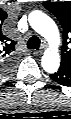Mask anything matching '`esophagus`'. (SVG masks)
Masks as SVG:
<instances>
[{"instance_id":"obj_1","label":"esophagus","mask_w":71,"mask_h":119,"mask_svg":"<svg viewBox=\"0 0 71 119\" xmlns=\"http://www.w3.org/2000/svg\"><path fill=\"white\" fill-rule=\"evenodd\" d=\"M43 47H45V45ZM32 53L36 56H39L42 54V50H33Z\"/></svg>"}]
</instances>
